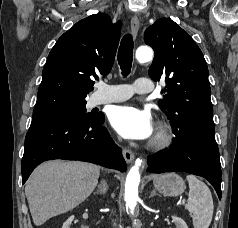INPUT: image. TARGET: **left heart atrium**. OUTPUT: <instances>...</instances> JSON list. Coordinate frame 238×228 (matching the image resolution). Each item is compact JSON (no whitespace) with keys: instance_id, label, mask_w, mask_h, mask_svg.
<instances>
[{"instance_id":"39dd6f15","label":"left heart atrium","mask_w":238,"mask_h":228,"mask_svg":"<svg viewBox=\"0 0 238 228\" xmlns=\"http://www.w3.org/2000/svg\"><path fill=\"white\" fill-rule=\"evenodd\" d=\"M109 119L112 127L125 139L145 140L154 131L151 114L131 105L114 107Z\"/></svg>"}]
</instances>
